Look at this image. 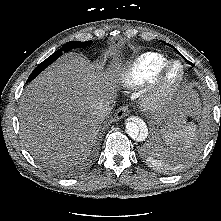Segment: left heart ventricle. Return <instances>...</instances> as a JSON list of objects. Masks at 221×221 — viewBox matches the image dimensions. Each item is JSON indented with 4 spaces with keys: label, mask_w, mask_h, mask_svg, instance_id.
Returning a JSON list of instances; mask_svg holds the SVG:
<instances>
[{
    "label": "left heart ventricle",
    "mask_w": 221,
    "mask_h": 221,
    "mask_svg": "<svg viewBox=\"0 0 221 221\" xmlns=\"http://www.w3.org/2000/svg\"><path fill=\"white\" fill-rule=\"evenodd\" d=\"M178 75H179V67L176 66L170 73L169 75V85H173L177 78H178Z\"/></svg>",
    "instance_id": "left-heart-ventricle-1"
}]
</instances>
